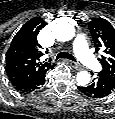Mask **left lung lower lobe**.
Listing matches in <instances>:
<instances>
[{"label":"left lung lower lobe","mask_w":115,"mask_h":119,"mask_svg":"<svg viewBox=\"0 0 115 119\" xmlns=\"http://www.w3.org/2000/svg\"><path fill=\"white\" fill-rule=\"evenodd\" d=\"M78 89L90 98H104L115 92V80L106 74L99 73L98 78L90 85L78 87Z\"/></svg>","instance_id":"1"}]
</instances>
